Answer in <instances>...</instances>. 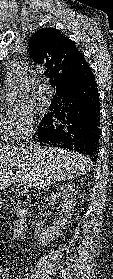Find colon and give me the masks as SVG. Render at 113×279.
Instances as JSON below:
<instances>
[{
  "label": "colon",
  "mask_w": 113,
  "mask_h": 279,
  "mask_svg": "<svg viewBox=\"0 0 113 279\" xmlns=\"http://www.w3.org/2000/svg\"><path fill=\"white\" fill-rule=\"evenodd\" d=\"M1 256H2V248L0 247V260H1ZM0 268H1V265H0Z\"/></svg>",
  "instance_id": "colon-1"
}]
</instances>
